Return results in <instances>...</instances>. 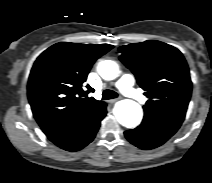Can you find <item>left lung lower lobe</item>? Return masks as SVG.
<instances>
[{"mask_svg":"<svg viewBox=\"0 0 212 183\" xmlns=\"http://www.w3.org/2000/svg\"><path fill=\"white\" fill-rule=\"evenodd\" d=\"M181 124L182 122L145 112L142 123L133 130L125 131V136L141 149H153L165 143Z\"/></svg>","mask_w":212,"mask_h":183,"instance_id":"obj_1","label":"left lung lower lobe"}]
</instances>
